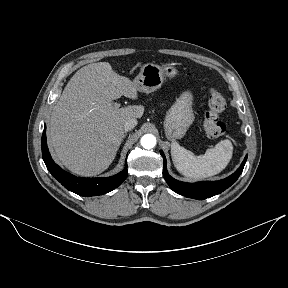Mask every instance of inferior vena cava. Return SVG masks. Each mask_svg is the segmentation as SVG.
<instances>
[{"label": "inferior vena cava", "mask_w": 288, "mask_h": 288, "mask_svg": "<svg viewBox=\"0 0 288 288\" xmlns=\"http://www.w3.org/2000/svg\"><path fill=\"white\" fill-rule=\"evenodd\" d=\"M137 120L135 118H131V119H128L124 125H123V129L125 131H129L131 129H133L136 125H137Z\"/></svg>", "instance_id": "inferior-vena-cava-1"}]
</instances>
